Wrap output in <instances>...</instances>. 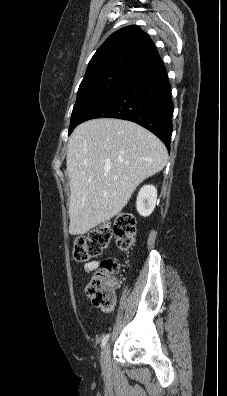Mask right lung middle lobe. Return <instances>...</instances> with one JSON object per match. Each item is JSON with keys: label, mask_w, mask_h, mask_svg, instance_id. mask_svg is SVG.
Wrapping results in <instances>:
<instances>
[{"label": "right lung middle lobe", "mask_w": 227, "mask_h": 396, "mask_svg": "<svg viewBox=\"0 0 227 396\" xmlns=\"http://www.w3.org/2000/svg\"><path fill=\"white\" fill-rule=\"evenodd\" d=\"M131 72L132 70L125 68H109L84 76L72 111L68 135L82 122L84 116Z\"/></svg>", "instance_id": "dd1d6c3e"}]
</instances>
